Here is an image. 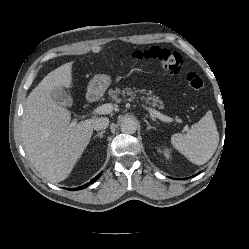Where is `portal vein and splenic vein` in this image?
Wrapping results in <instances>:
<instances>
[{"instance_id": "18ae733b", "label": "portal vein and splenic vein", "mask_w": 249, "mask_h": 249, "mask_svg": "<svg viewBox=\"0 0 249 249\" xmlns=\"http://www.w3.org/2000/svg\"><path fill=\"white\" fill-rule=\"evenodd\" d=\"M143 107L146 110H148L150 114L154 115L155 117H157L161 121L172 122V118H170L166 115H163L162 113H160V112H158L150 107H145L144 105H143ZM113 110H114V106L110 103H106V104H103V105L95 108L92 113L93 114H110ZM74 123H76V122H74Z\"/></svg>"}]
</instances>
